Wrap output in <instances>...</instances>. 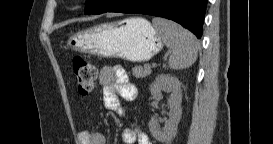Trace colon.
Masks as SVG:
<instances>
[{
  "label": "colon",
  "mask_w": 273,
  "mask_h": 144,
  "mask_svg": "<svg viewBox=\"0 0 273 144\" xmlns=\"http://www.w3.org/2000/svg\"><path fill=\"white\" fill-rule=\"evenodd\" d=\"M73 70L79 94L81 96L91 94L97 78L96 65L84 57L77 56L73 59Z\"/></svg>",
  "instance_id": "colon-1"
}]
</instances>
